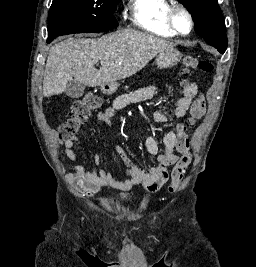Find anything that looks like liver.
<instances>
[{"label": "liver", "mask_w": 256, "mask_h": 267, "mask_svg": "<svg viewBox=\"0 0 256 267\" xmlns=\"http://www.w3.org/2000/svg\"><path fill=\"white\" fill-rule=\"evenodd\" d=\"M172 46L173 42L130 28L97 40L68 38L49 50L43 96L62 94L73 78L91 88L129 78ZM96 62H100V70L94 68Z\"/></svg>", "instance_id": "6515ba94"}]
</instances>
